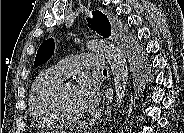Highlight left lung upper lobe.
<instances>
[{"label":"left lung upper lobe","instance_id":"5c2ea615","mask_svg":"<svg viewBox=\"0 0 184 133\" xmlns=\"http://www.w3.org/2000/svg\"><path fill=\"white\" fill-rule=\"evenodd\" d=\"M93 18H87L88 27L97 31V33L103 37H109L111 33L121 38L125 44V49L128 54L129 64L131 67V73L134 77L135 84L139 81L141 67L144 65L140 51L137 49L131 39L126 37L123 27L116 22L108 20L107 16L100 11L92 12ZM55 43L54 39L50 38L45 40L39 47L37 55L35 57L34 66L38 67L49 60L54 54Z\"/></svg>","mask_w":184,"mask_h":133}]
</instances>
